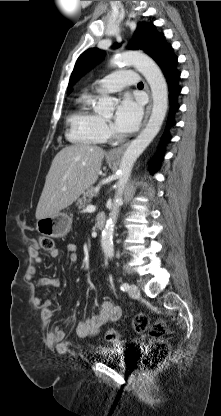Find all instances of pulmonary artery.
Segmentation results:
<instances>
[{"instance_id":"obj_1","label":"pulmonary artery","mask_w":221,"mask_h":416,"mask_svg":"<svg viewBox=\"0 0 221 416\" xmlns=\"http://www.w3.org/2000/svg\"><path fill=\"white\" fill-rule=\"evenodd\" d=\"M138 75L134 70L119 69L96 84L97 92L114 93L120 91L127 85H137Z\"/></svg>"}]
</instances>
